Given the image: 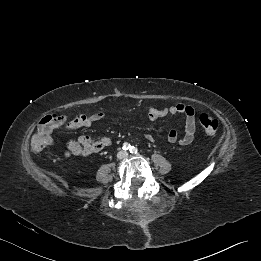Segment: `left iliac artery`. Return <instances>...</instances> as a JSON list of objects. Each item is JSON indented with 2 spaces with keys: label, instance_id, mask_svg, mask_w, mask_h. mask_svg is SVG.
Masks as SVG:
<instances>
[{
  "label": "left iliac artery",
  "instance_id": "44dca946",
  "mask_svg": "<svg viewBox=\"0 0 261 261\" xmlns=\"http://www.w3.org/2000/svg\"><path fill=\"white\" fill-rule=\"evenodd\" d=\"M130 152L133 153V154H136L138 152V149L134 146H131Z\"/></svg>",
  "mask_w": 261,
  "mask_h": 261
}]
</instances>
